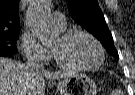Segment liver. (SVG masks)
I'll use <instances>...</instances> for the list:
<instances>
[{"instance_id": "liver-1", "label": "liver", "mask_w": 135, "mask_h": 95, "mask_svg": "<svg viewBox=\"0 0 135 95\" xmlns=\"http://www.w3.org/2000/svg\"><path fill=\"white\" fill-rule=\"evenodd\" d=\"M70 72L30 69L26 64L0 57V95H45V78H67Z\"/></svg>"}]
</instances>
